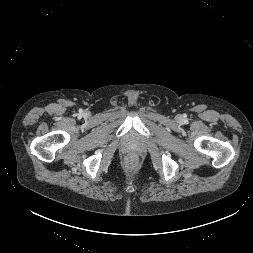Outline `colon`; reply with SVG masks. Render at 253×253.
I'll use <instances>...</instances> for the list:
<instances>
[{"mask_svg": "<svg viewBox=\"0 0 253 253\" xmlns=\"http://www.w3.org/2000/svg\"><path fill=\"white\" fill-rule=\"evenodd\" d=\"M133 164H134V159H133V158H130V159L128 160V165H129V166H133Z\"/></svg>", "mask_w": 253, "mask_h": 253, "instance_id": "5ec220e1", "label": "colon"}]
</instances>
